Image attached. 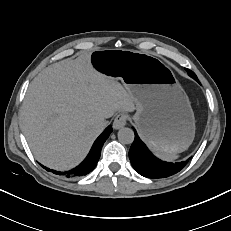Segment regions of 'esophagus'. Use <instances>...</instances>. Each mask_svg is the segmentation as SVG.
Masks as SVG:
<instances>
[{
  "label": "esophagus",
  "instance_id": "34e87169",
  "mask_svg": "<svg viewBox=\"0 0 231 231\" xmlns=\"http://www.w3.org/2000/svg\"><path fill=\"white\" fill-rule=\"evenodd\" d=\"M126 123H127V116L123 113L118 114L114 119L113 128L114 129H120L123 126H125Z\"/></svg>",
  "mask_w": 231,
  "mask_h": 231
}]
</instances>
